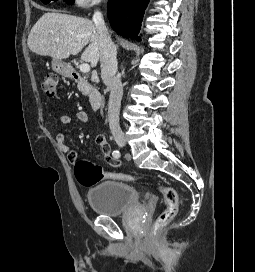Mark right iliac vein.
I'll return each instance as SVG.
<instances>
[{
  "label": "right iliac vein",
  "mask_w": 255,
  "mask_h": 272,
  "mask_svg": "<svg viewBox=\"0 0 255 272\" xmlns=\"http://www.w3.org/2000/svg\"><path fill=\"white\" fill-rule=\"evenodd\" d=\"M114 139L120 147H123L126 144L125 136L121 133L115 134Z\"/></svg>",
  "instance_id": "obj_1"
}]
</instances>
